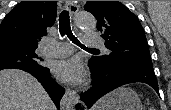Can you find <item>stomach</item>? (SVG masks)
<instances>
[{
  "mask_svg": "<svg viewBox=\"0 0 171 110\" xmlns=\"http://www.w3.org/2000/svg\"><path fill=\"white\" fill-rule=\"evenodd\" d=\"M98 105L97 110H140V99L133 90L121 87L106 95Z\"/></svg>",
  "mask_w": 171,
  "mask_h": 110,
  "instance_id": "1",
  "label": "stomach"
}]
</instances>
